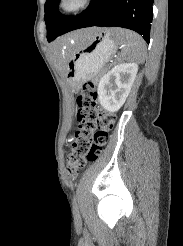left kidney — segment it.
Wrapping results in <instances>:
<instances>
[{
    "instance_id": "5707ae66",
    "label": "left kidney",
    "mask_w": 183,
    "mask_h": 246,
    "mask_svg": "<svg viewBox=\"0 0 183 246\" xmlns=\"http://www.w3.org/2000/svg\"><path fill=\"white\" fill-rule=\"evenodd\" d=\"M138 71L137 63H120L100 79L98 98L101 106L110 113L117 112L125 103Z\"/></svg>"
}]
</instances>
